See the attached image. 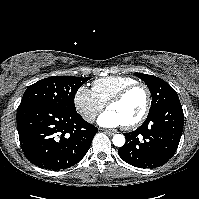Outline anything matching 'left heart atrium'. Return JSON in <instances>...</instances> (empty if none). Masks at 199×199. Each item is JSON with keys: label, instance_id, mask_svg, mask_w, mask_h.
<instances>
[{"label": "left heart atrium", "instance_id": "obj_1", "mask_svg": "<svg viewBox=\"0 0 199 199\" xmlns=\"http://www.w3.org/2000/svg\"><path fill=\"white\" fill-rule=\"evenodd\" d=\"M102 127H118L124 125L122 120L111 110L102 113L97 120Z\"/></svg>", "mask_w": 199, "mask_h": 199}]
</instances>
